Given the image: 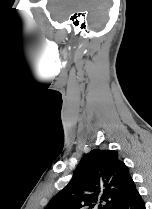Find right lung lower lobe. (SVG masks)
<instances>
[{"label": "right lung lower lobe", "mask_w": 152, "mask_h": 209, "mask_svg": "<svg viewBox=\"0 0 152 209\" xmlns=\"http://www.w3.org/2000/svg\"><path fill=\"white\" fill-rule=\"evenodd\" d=\"M112 209H145V204L135 187L125 199Z\"/></svg>", "instance_id": "right-lung-lower-lobe-1"}]
</instances>
